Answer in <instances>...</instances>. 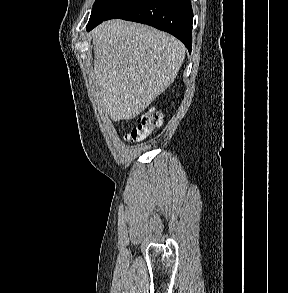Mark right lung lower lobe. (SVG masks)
<instances>
[{
	"label": "right lung lower lobe",
	"mask_w": 288,
	"mask_h": 293,
	"mask_svg": "<svg viewBox=\"0 0 288 293\" xmlns=\"http://www.w3.org/2000/svg\"><path fill=\"white\" fill-rule=\"evenodd\" d=\"M114 18L140 22L168 32L191 52L193 11L190 0H126L105 20Z\"/></svg>",
	"instance_id": "1"
}]
</instances>
